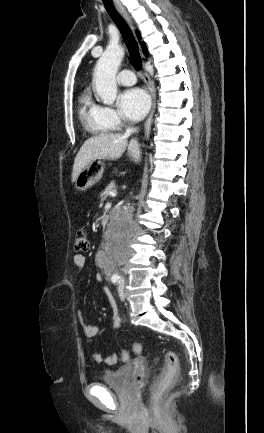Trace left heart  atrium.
<instances>
[{"label":"left heart atrium","instance_id":"left-heart-atrium-1","mask_svg":"<svg viewBox=\"0 0 264 433\" xmlns=\"http://www.w3.org/2000/svg\"><path fill=\"white\" fill-rule=\"evenodd\" d=\"M121 115L130 121H139L147 113L150 100L145 91L139 88L125 90L118 97Z\"/></svg>","mask_w":264,"mask_h":433}]
</instances>
